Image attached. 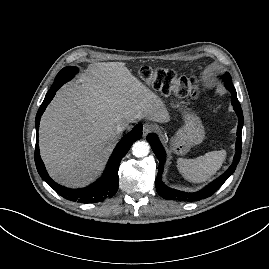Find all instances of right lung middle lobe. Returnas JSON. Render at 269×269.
Instances as JSON below:
<instances>
[{
    "instance_id": "dd1d6c3e",
    "label": "right lung middle lobe",
    "mask_w": 269,
    "mask_h": 269,
    "mask_svg": "<svg viewBox=\"0 0 269 269\" xmlns=\"http://www.w3.org/2000/svg\"><path fill=\"white\" fill-rule=\"evenodd\" d=\"M78 72V69L76 67L68 66L60 70V72L57 74L54 82H63L66 83L67 81L71 80L75 74Z\"/></svg>"
}]
</instances>
